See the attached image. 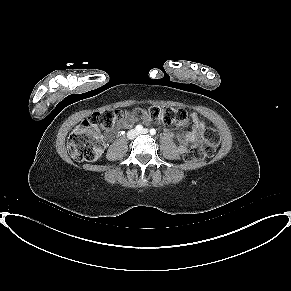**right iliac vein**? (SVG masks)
<instances>
[{"label":"right iliac vein","instance_id":"63e3f726","mask_svg":"<svg viewBox=\"0 0 291 291\" xmlns=\"http://www.w3.org/2000/svg\"><path fill=\"white\" fill-rule=\"evenodd\" d=\"M138 135V132L136 130H130L128 133H127V138L128 139H133L135 138L136 136Z\"/></svg>","mask_w":291,"mask_h":291}]
</instances>
